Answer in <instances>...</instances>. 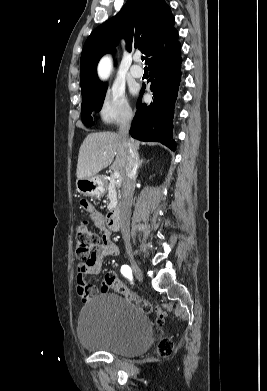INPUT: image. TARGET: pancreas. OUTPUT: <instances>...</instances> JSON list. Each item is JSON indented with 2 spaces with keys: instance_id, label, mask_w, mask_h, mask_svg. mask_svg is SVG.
<instances>
[{
  "instance_id": "cf45deb5",
  "label": "pancreas",
  "mask_w": 267,
  "mask_h": 391,
  "mask_svg": "<svg viewBox=\"0 0 267 391\" xmlns=\"http://www.w3.org/2000/svg\"><path fill=\"white\" fill-rule=\"evenodd\" d=\"M102 180L106 186V190L109 193V199L111 200V209L116 208L120 199L119 188L121 186V182H117L112 177L110 180H107L106 178H102Z\"/></svg>"
}]
</instances>
